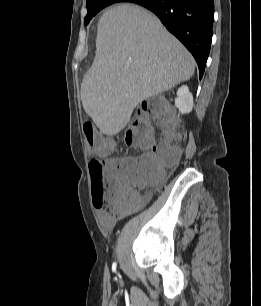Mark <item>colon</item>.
<instances>
[{"instance_id": "colon-1", "label": "colon", "mask_w": 261, "mask_h": 306, "mask_svg": "<svg viewBox=\"0 0 261 306\" xmlns=\"http://www.w3.org/2000/svg\"><path fill=\"white\" fill-rule=\"evenodd\" d=\"M153 124L162 130L155 141ZM176 120L171 110L159 97L150 99L126 132V143L143 154L115 160L108 166L100 159L89 161L92 186L96 198L95 207L114 212L119 206L128 203L136 186L159 185L165 171L174 165L180 155L172 145L176 138ZM87 151L97 154L108 150V143L97 139L91 124L83 127Z\"/></svg>"}]
</instances>
